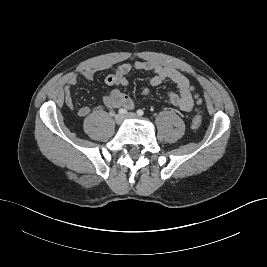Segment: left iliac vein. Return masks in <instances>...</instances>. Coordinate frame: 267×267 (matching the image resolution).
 <instances>
[{"label":"left iliac vein","instance_id":"1","mask_svg":"<svg viewBox=\"0 0 267 267\" xmlns=\"http://www.w3.org/2000/svg\"><path fill=\"white\" fill-rule=\"evenodd\" d=\"M137 115L135 113H129L125 116V118H136Z\"/></svg>","mask_w":267,"mask_h":267}]
</instances>
